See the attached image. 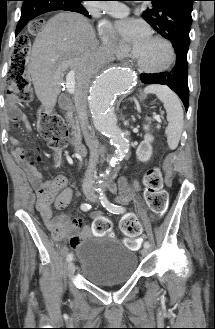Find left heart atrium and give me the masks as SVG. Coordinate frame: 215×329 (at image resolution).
<instances>
[{
	"label": "left heart atrium",
	"mask_w": 215,
	"mask_h": 329,
	"mask_svg": "<svg viewBox=\"0 0 215 329\" xmlns=\"http://www.w3.org/2000/svg\"><path fill=\"white\" fill-rule=\"evenodd\" d=\"M116 31L120 38L130 44L136 52L143 48L151 39L146 23L137 19H123L116 22Z\"/></svg>",
	"instance_id": "39dd6f15"
}]
</instances>
